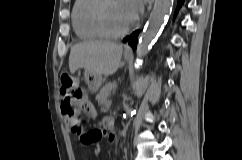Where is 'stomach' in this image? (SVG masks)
<instances>
[{"label": "stomach", "mask_w": 242, "mask_h": 160, "mask_svg": "<svg viewBox=\"0 0 242 160\" xmlns=\"http://www.w3.org/2000/svg\"><path fill=\"white\" fill-rule=\"evenodd\" d=\"M124 57L126 60H130V56L127 54H125ZM85 83L91 93H96L102 85V76L93 73H85Z\"/></svg>", "instance_id": "obj_1"}]
</instances>
